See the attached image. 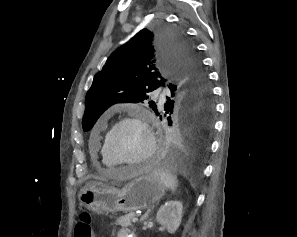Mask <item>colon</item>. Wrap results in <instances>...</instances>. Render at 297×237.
<instances>
[{
	"label": "colon",
	"mask_w": 297,
	"mask_h": 237,
	"mask_svg": "<svg viewBox=\"0 0 297 237\" xmlns=\"http://www.w3.org/2000/svg\"><path fill=\"white\" fill-rule=\"evenodd\" d=\"M75 237H94L91 219L88 213L81 214L75 226Z\"/></svg>",
	"instance_id": "obj_1"
}]
</instances>
